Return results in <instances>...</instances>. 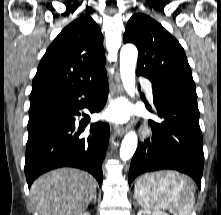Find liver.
Here are the masks:
<instances>
[{
    "label": "liver",
    "instance_id": "liver-1",
    "mask_svg": "<svg viewBox=\"0 0 221 215\" xmlns=\"http://www.w3.org/2000/svg\"><path fill=\"white\" fill-rule=\"evenodd\" d=\"M94 178L82 170L60 168L40 176L30 194L39 215H79L94 199Z\"/></svg>",
    "mask_w": 221,
    "mask_h": 215
}]
</instances>
